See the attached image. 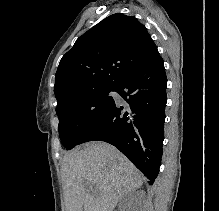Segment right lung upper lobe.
<instances>
[{
    "mask_svg": "<svg viewBox=\"0 0 219 211\" xmlns=\"http://www.w3.org/2000/svg\"><path fill=\"white\" fill-rule=\"evenodd\" d=\"M159 56L147 29L135 17L113 14L80 36L55 75L58 104L116 85L131 71Z\"/></svg>",
    "mask_w": 219,
    "mask_h": 211,
    "instance_id": "right-lung-upper-lobe-1",
    "label": "right lung upper lobe"
}]
</instances>
